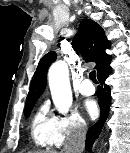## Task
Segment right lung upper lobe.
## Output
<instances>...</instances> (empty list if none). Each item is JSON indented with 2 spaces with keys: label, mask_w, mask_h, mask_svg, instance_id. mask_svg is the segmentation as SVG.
<instances>
[{
  "label": "right lung upper lobe",
  "mask_w": 130,
  "mask_h": 153,
  "mask_svg": "<svg viewBox=\"0 0 130 153\" xmlns=\"http://www.w3.org/2000/svg\"><path fill=\"white\" fill-rule=\"evenodd\" d=\"M72 45L76 51L82 53L85 61L96 62L97 75L110 65L111 56L105 53V49L110 47V42L106 39L104 30L93 20L81 21ZM55 60L54 51H50L41 58L30 85L26 105L36 102L43 93L47 82V70Z\"/></svg>",
  "instance_id": "1"
}]
</instances>
